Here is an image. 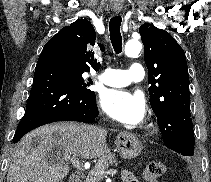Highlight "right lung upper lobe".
Listing matches in <instances>:
<instances>
[{
	"label": "right lung upper lobe",
	"mask_w": 211,
	"mask_h": 182,
	"mask_svg": "<svg viewBox=\"0 0 211 182\" xmlns=\"http://www.w3.org/2000/svg\"><path fill=\"white\" fill-rule=\"evenodd\" d=\"M49 42L58 46L72 65L87 72L99 70L100 63L93 55L96 33L88 20L78 19L62 28Z\"/></svg>",
	"instance_id": "1"
}]
</instances>
